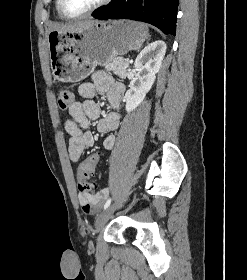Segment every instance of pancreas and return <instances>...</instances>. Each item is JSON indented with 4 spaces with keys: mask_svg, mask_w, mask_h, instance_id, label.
Segmentation results:
<instances>
[{
    "mask_svg": "<svg viewBox=\"0 0 247 280\" xmlns=\"http://www.w3.org/2000/svg\"><path fill=\"white\" fill-rule=\"evenodd\" d=\"M128 67V62H126L122 57H115L110 62L105 64V68L108 71H112L115 75L122 79L126 78Z\"/></svg>",
    "mask_w": 247,
    "mask_h": 280,
    "instance_id": "cf45deb5",
    "label": "pancreas"
}]
</instances>
